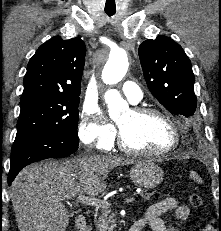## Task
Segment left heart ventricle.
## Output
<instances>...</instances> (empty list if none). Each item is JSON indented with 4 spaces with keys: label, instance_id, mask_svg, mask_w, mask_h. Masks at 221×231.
I'll list each match as a JSON object with an SVG mask.
<instances>
[{
    "label": "left heart ventricle",
    "instance_id": "1",
    "mask_svg": "<svg viewBox=\"0 0 221 231\" xmlns=\"http://www.w3.org/2000/svg\"><path fill=\"white\" fill-rule=\"evenodd\" d=\"M117 123L127 143L135 148L158 152L173 144V130L170 124L160 116L137 117L128 110L117 120Z\"/></svg>",
    "mask_w": 221,
    "mask_h": 231
}]
</instances>
